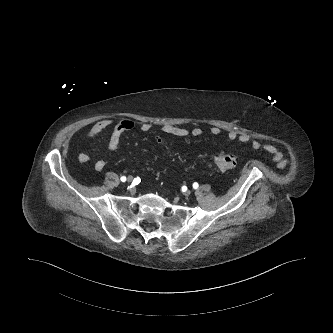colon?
<instances>
[{"label": "colon", "instance_id": "colon-1", "mask_svg": "<svg viewBox=\"0 0 333 333\" xmlns=\"http://www.w3.org/2000/svg\"><path fill=\"white\" fill-rule=\"evenodd\" d=\"M213 165L221 171H232L237 166V159L230 154H219L214 157Z\"/></svg>", "mask_w": 333, "mask_h": 333}]
</instances>
